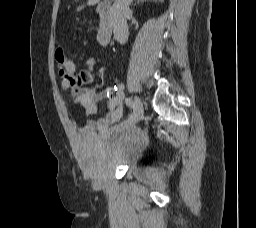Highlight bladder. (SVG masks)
<instances>
[{"label":"bladder","instance_id":"31cf9c89","mask_svg":"<svg viewBox=\"0 0 256 228\" xmlns=\"http://www.w3.org/2000/svg\"><path fill=\"white\" fill-rule=\"evenodd\" d=\"M147 143V136L136 128L118 126L102 135L81 133L77 153L96 179L112 168L133 163Z\"/></svg>","mask_w":256,"mask_h":228}]
</instances>
